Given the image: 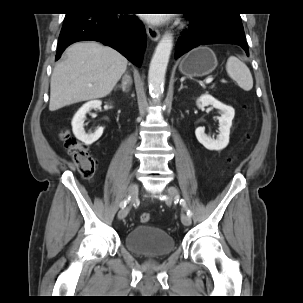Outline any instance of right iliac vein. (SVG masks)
Masks as SVG:
<instances>
[{
	"mask_svg": "<svg viewBox=\"0 0 303 303\" xmlns=\"http://www.w3.org/2000/svg\"><path fill=\"white\" fill-rule=\"evenodd\" d=\"M137 193H138V184L137 183L131 184L128 188V195L131 197L132 200L135 199ZM128 213H129V207L127 206L119 211L118 218L124 219L128 215Z\"/></svg>",
	"mask_w": 303,
	"mask_h": 303,
	"instance_id": "right-iliac-vein-1",
	"label": "right iliac vein"
}]
</instances>
